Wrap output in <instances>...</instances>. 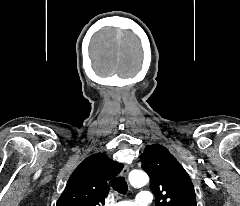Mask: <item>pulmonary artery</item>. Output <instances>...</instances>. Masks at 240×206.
<instances>
[{"mask_svg": "<svg viewBox=\"0 0 240 206\" xmlns=\"http://www.w3.org/2000/svg\"><path fill=\"white\" fill-rule=\"evenodd\" d=\"M151 202V193L149 191H140L135 200H125L117 202L114 206H148Z\"/></svg>", "mask_w": 240, "mask_h": 206, "instance_id": "1", "label": "pulmonary artery"}]
</instances>
